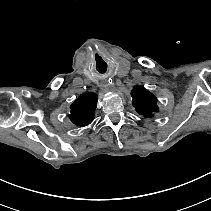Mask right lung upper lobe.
Instances as JSON below:
<instances>
[{
  "label": "right lung upper lobe",
  "instance_id": "cb5924a9",
  "mask_svg": "<svg viewBox=\"0 0 211 211\" xmlns=\"http://www.w3.org/2000/svg\"><path fill=\"white\" fill-rule=\"evenodd\" d=\"M98 96L95 93L80 95L70 106V120L77 126L84 127L94 120Z\"/></svg>",
  "mask_w": 211,
  "mask_h": 211
}]
</instances>
